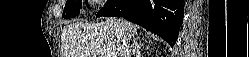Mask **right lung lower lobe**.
<instances>
[{
	"mask_svg": "<svg viewBox=\"0 0 249 57\" xmlns=\"http://www.w3.org/2000/svg\"><path fill=\"white\" fill-rule=\"evenodd\" d=\"M183 0H110L99 16L123 17L162 37L170 46L183 23Z\"/></svg>",
	"mask_w": 249,
	"mask_h": 57,
	"instance_id": "98d812e1",
	"label": "right lung lower lobe"
}]
</instances>
